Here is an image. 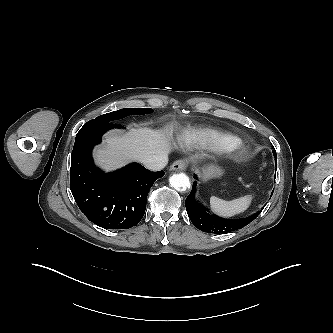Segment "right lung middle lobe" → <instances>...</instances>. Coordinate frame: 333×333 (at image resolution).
<instances>
[{
	"label": "right lung middle lobe",
	"mask_w": 333,
	"mask_h": 333,
	"mask_svg": "<svg viewBox=\"0 0 333 333\" xmlns=\"http://www.w3.org/2000/svg\"><path fill=\"white\" fill-rule=\"evenodd\" d=\"M153 112L151 108H125L117 111H113L101 116L96 117L92 121L95 122H111L113 120H118L124 118L128 115H143Z\"/></svg>",
	"instance_id": "right-lung-middle-lobe-1"
}]
</instances>
